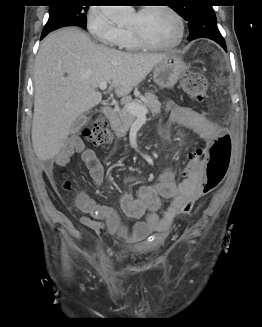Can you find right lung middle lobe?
I'll return each mask as SVG.
<instances>
[{
    "label": "right lung middle lobe",
    "instance_id": "right-lung-middle-lobe-1",
    "mask_svg": "<svg viewBox=\"0 0 262 327\" xmlns=\"http://www.w3.org/2000/svg\"><path fill=\"white\" fill-rule=\"evenodd\" d=\"M56 4L49 8V19L43 32H51L64 26L85 27L86 15L89 6H80L76 0H55Z\"/></svg>",
    "mask_w": 262,
    "mask_h": 327
}]
</instances>
